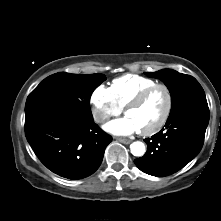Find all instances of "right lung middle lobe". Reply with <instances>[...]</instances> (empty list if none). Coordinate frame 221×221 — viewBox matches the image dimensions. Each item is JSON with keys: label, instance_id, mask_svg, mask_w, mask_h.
<instances>
[{"label": "right lung middle lobe", "instance_id": "right-lung-middle-lobe-1", "mask_svg": "<svg viewBox=\"0 0 221 221\" xmlns=\"http://www.w3.org/2000/svg\"><path fill=\"white\" fill-rule=\"evenodd\" d=\"M106 80L103 74L60 72L44 79L28 96L25 113L44 105H55L83 120H92L90 97Z\"/></svg>", "mask_w": 221, "mask_h": 221}]
</instances>
